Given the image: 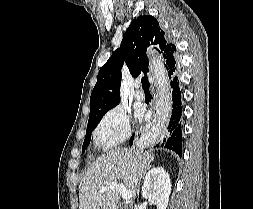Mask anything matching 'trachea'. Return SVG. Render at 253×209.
I'll return each instance as SVG.
<instances>
[{"instance_id": "obj_1", "label": "trachea", "mask_w": 253, "mask_h": 209, "mask_svg": "<svg viewBox=\"0 0 253 209\" xmlns=\"http://www.w3.org/2000/svg\"><path fill=\"white\" fill-rule=\"evenodd\" d=\"M141 83H142V87H143L144 90H149L150 83L148 81V77L147 76H144L141 79Z\"/></svg>"}]
</instances>
